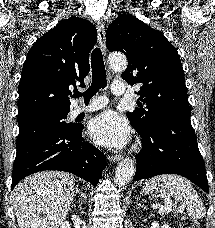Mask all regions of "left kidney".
I'll return each instance as SVG.
<instances>
[{
  "mask_svg": "<svg viewBox=\"0 0 215 228\" xmlns=\"http://www.w3.org/2000/svg\"><path fill=\"white\" fill-rule=\"evenodd\" d=\"M160 228H169V226H166L165 224V226H160Z\"/></svg>",
  "mask_w": 215,
  "mask_h": 228,
  "instance_id": "left-kidney-1",
  "label": "left kidney"
}]
</instances>
